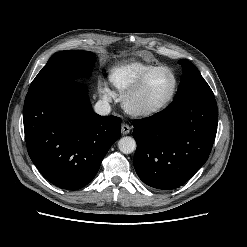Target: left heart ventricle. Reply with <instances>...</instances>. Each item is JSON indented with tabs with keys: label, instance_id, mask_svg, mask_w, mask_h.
Listing matches in <instances>:
<instances>
[{
	"label": "left heart ventricle",
	"instance_id": "left-heart-ventricle-1",
	"mask_svg": "<svg viewBox=\"0 0 247 247\" xmlns=\"http://www.w3.org/2000/svg\"><path fill=\"white\" fill-rule=\"evenodd\" d=\"M173 78L165 70L152 73L144 82L136 97V103L141 106H154L163 102L171 93Z\"/></svg>",
	"mask_w": 247,
	"mask_h": 247
}]
</instances>
